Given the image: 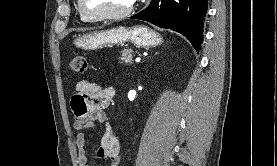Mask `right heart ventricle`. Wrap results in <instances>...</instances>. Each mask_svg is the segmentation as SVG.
<instances>
[{"label":"right heart ventricle","mask_w":277,"mask_h":166,"mask_svg":"<svg viewBox=\"0 0 277 166\" xmlns=\"http://www.w3.org/2000/svg\"><path fill=\"white\" fill-rule=\"evenodd\" d=\"M81 17L83 20H88L86 17H84L82 14H81Z\"/></svg>","instance_id":"e07e8e85"}]
</instances>
